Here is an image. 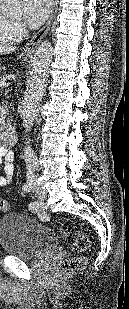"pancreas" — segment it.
I'll use <instances>...</instances> for the list:
<instances>
[{
	"mask_svg": "<svg viewBox=\"0 0 129 309\" xmlns=\"http://www.w3.org/2000/svg\"><path fill=\"white\" fill-rule=\"evenodd\" d=\"M2 82H4V83H6V79L3 77H0V83H2ZM6 115V112H3L2 110H0V119H1V117L2 116H5ZM4 126V123H2L1 121H0V128L1 127H3Z\"/></svg>",
	"mask_w": 129,
	"mask_h": 309,
	"instance_id": "1",
	"label": "pancreas"
}]
</instances>
